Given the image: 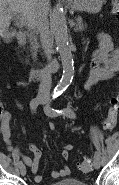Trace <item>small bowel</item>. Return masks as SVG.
Wrapping results in <instances>:
<instances>
[{
    "mask_svg": "<svg viewBox=\"0 0 119 185\" xmlns=\"http://www.w3.org/2000/svg\"><path fill=\"white\" fill-rule=\"evenodd\" d=\"M98 47L94 50L92 54L90 71L88 78L85 81V88L88 91L94 90L95 86L99 82H105L110 80L114 73L119 67V51L114 47L111 38L105 33H99L97 35ZM25 84L24 82L17 83L14 87ZM18 108L21 106L17 104ZM10 114L4 112V117L1 122V132L4 142L7 144L10 150H13L11 145V131L9 126ZM50 129H54V125H50ZM29 151L32 153V158L21 154L23 161L30 167L31 172L34 175L35 182H42L43 176L38 173L39 161L42 157V151L34 144L28 146ZM74 149L72 144H67L62 150V157L64 160V165L61 169L53 171L52 177L55 179L64 178L68 176L71 172L70 167L67 162L70 158V152Z\"/></svg>",
    "mask_w": 119,
    "mask_h": 185,
    "instance_id": "1",
    "label": "small bowel"
}]
</instances>
